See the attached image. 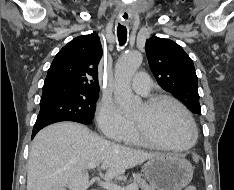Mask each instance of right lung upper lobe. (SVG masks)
<instances>
[{
  "instance_id": "1",
  "label": "right lung upper lobe",
  "mask_w": 234,
  "mask_h": 190,
  "mask_svg": "<svg viewBox=\"0 0 234 190\" xmlns=\"http://www.w3.org/2000/svg\"><path fill=\"white\" fill-rule=\"evenodd\" d=\"M101 56L102 47L96 33L74 38L55 56L43 87L99 91L97 65Z\"/></svg>"
}]
</instances>
